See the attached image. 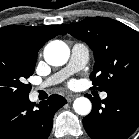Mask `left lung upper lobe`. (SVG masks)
Listing matches in <instances>:
<instances>
[{"label":"left lung upper lobe","mask_w":139,"mask_h":139,"mask_svg":"<svg viewBox=\"0 0 139 139\" xmlns=\"http://www.w3.org/2000/svg\"><path fill=\"white\" fill-rule=\"evenodd\" d=\"M61 27L92 49L96 62L90 75L93 89L108 93L128 82L139 80L137 31L105 17H88Z\"/></svg>","instance_id":"5c2ea615"}]
</instances>
